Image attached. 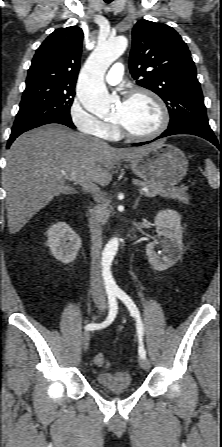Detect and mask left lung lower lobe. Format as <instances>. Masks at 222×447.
Returning <instances> with one entry per match:
<instances>
[{
    "label": "left lung lower lobe",
    "instance_id": "obj_1",
    "mask_svg": "<svg viewBox=\"0 0 222 447\" xmlns=\"http://www.w3.org/2000/svg\"><path fill=\"white\" fill-rule=\"evenodd\" d=\"M175 134L196 135V136L202 137L206 140H209L218 149H221V146H222L219 144L217 138L215 137V135L213 134V131L211 129L207 130V129H204L196 124L190 123V122H181L176 125L169 126L165 132H163L159 137H157L154 140H157L162 137L170 136V135H175ZM154 140H152V141H154ZM152 141L136 143V144H134V146H141V145L150 143Z\"/></svg>",
    "mask_w": 222,
    "mask_h": 447
}]
</instances>
